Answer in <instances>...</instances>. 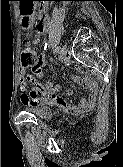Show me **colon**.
<instances>
[{
  "label": "colon",
  "mask_w": 123,
  "mask_h": 167,
  "mask_svg": "<svg viewBox=\"0 0 123 167\" xmlns=\"http://www.w3.org/2000/svg\"><path fill=\"white\" fill-rule=\"evenodd\" d=\"M43 16L37 21V29L41 30L43 28ZM21 63L25 67H32L33 69L39 66V59L37 52L30 46H26L21 50Z\"/></svg>",
  "instance_id": "5ec220e1"
}]
</instances>
